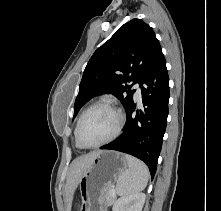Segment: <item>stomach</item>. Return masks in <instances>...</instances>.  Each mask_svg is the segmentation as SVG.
Instances as JSON below:
<instances>
[{
  "label": "stomach",
  "mask_w": 221,
  "mask_h": 211,
  "mask_svg": "<svg viewBox=\"0 0 221 211\" xmlns=\"http://www.w3.org/2000/svg\"><path fill=\"white\" fill-rule=\"evenodd\" d=\"M128 170L123 154L116 151H101L84 170L79 181L82 205L80 211H99L106 204L107 189Z\"/></svg>",
  "instance_id": "0dacf381"
}]
</instances>
